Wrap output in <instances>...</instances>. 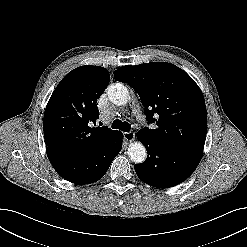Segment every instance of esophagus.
Listing matches in <instances>:
<instances>
[{
	"instance_id": "1",
	"label": "esophagus",
	"mask_w": 247,
	"mask_h": 247,
	"mask_svg": "<svg viewBox=\"0 0 247 247\" xmlns=\"http://www.w3.org/2000/svg\"><path fill=\"white\" fill-rule=\"evenodd\" d=\"M123 137L126 142H132L135 139V133L134 132H125L123 133Z\"/></svg>"
}]
</instances>
